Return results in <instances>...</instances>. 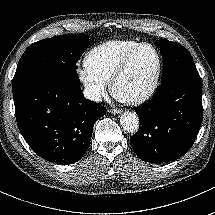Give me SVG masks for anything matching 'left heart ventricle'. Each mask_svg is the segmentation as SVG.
<instances>
[{
	"instance_id": "1",
	"label": "left heart ventricle",
	"mask_w": 215,
	"mask_h": 215,
	"mask_svg": "<svg viewBox=\"0 0 215 215\" xmlns=\"http://www.w3.org/2000/svg\"><path fill=\"white\" fill-rule=\"evenodd\" d=\"M156 54L149 46H143L134 54L125 74L115 89L117 97L131 99L139 95L156 68Z\"/></svg>"
}]
</instances>
